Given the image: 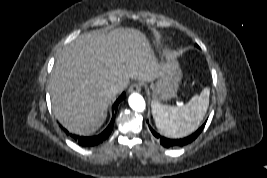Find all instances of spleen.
Instances as JSON below:
<instances>
[{"label": "spleen", "instance_id": "obj_1", "mask_svg": "<svg viewBox=\"0 0 267 178\" xmlns=\"http://www.w3.org/2000/svg\"><path fill=\"white\" fill-rule=\"evenodd\" d=\"M209 95L210 89L206 87L183 106H168L153 100L152 114L159 132L166 137L181 138L197 130L208 109Z\"/></svg>", "mask_w": 267, "mask_h": 178}]
</instances>
